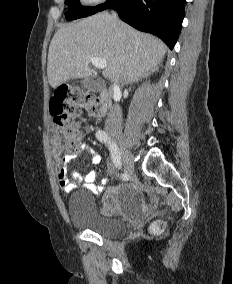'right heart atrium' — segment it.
I'll return each instance as SVG.
<instances>
[{"instance_id": "right-heart-atrium-1", "label": "right heart atrium", "mask_w": 233, "mask_h": 284, "mask_svg": "<svg viewBox=\"0 0 233 284\" xmlns=\"http://www.w3.org/2000/svg\"><path fill=\"white\" fill-rule=\"evenodd\" d=\"M104 0H84L85 3L90 4V5H96L101 3Z\"/></svg>"}]
</instances>
